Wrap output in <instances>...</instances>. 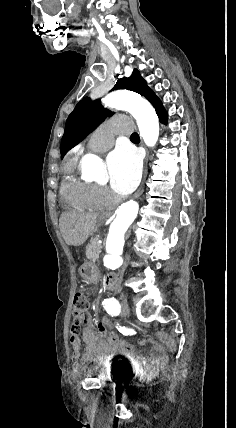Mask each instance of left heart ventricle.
I'll use <instances>...</instances> for the list:
<instances>
[{
  "instance_id": "1",
  "label": "left heart ventricle",
  "mask_w": 236,
  "mask_h": 428,
  "mask_svg": "<svg viewBox=\"0 0 236 428\" xmlns=\"http://www.w3.org/2000/svg\"><path fill=\"white\" fill-rule=\"evenodd\" d=\"M105 179H106V178L99 177V178L96 180V182H97V183H99V184H101V183H103V182L105 181Z\"/></svg>"
}]
</instances>
